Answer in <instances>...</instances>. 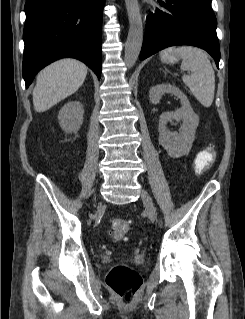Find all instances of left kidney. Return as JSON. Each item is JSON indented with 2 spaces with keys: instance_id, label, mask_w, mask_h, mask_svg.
Wrapping results in <instances>:
<instances>
[{
  "instance_id": "obj_1",
  "label": "left kidney",
  "mask_w": 245,
  "mask_h": 319,
  "mask_svg": "<svg viewBox=\"0 0 245 319\" xmlns=\"http://www.w3.org/2000/svg\"><path fill=\"white\" fill-rule=\"evenodd\" d=\"M172 94L180 99L182 107L176 111L162 113L159 117V142L168 155L173 158L188 154L195 139L199 117L194 113L186 95L176 86L171 84H157L150 88V102L157 105L162 95ZM173 120L182 121L179 133L171 132L166 124Z\"/></svg>"
}]
</instances>
